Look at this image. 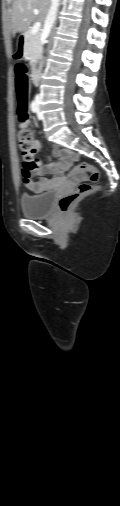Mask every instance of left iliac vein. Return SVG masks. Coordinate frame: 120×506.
<instances>
[{
  "instance_id": "1",
  "label": "left iliac vein",
  "mask_w": 120,
  "mask_h": 506,
  "mask_svg": "<svg viewBox=\"0 0 120 506\" xmlns=\"http://www.w3.org/2000/svg\"><path fill=\"white\" fill-rule=\"evenodd\" d=\"M37 116H38V119H42V115L40 114L39 107H38V111H37Z\"/></svg>"
}]
</instances>
